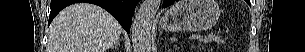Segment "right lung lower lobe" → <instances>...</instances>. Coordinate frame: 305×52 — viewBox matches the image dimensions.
<instances>
[{
  "label": "right lung lower lobe",
  "mask_w": 305,
  "mask_h": 52,
  "mask_svg": "<svg viewBox=\"0 0 305 52\" xmlns=\"http://www.w3.org/2000/svg\"><path fill=\"white\" fill-rule=\"evenodd\" d=\"M138 1L139 0H51V12L48 25L66 6L79 2H87L96 4L107 10L118 20L127 33H129L133 11Z\"/></svg>",
  "instance_id": "1"
}]
</instances>
